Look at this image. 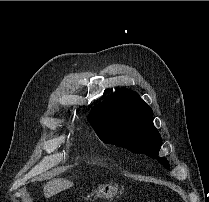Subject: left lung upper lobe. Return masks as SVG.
<instances>
[{
    "label": "left lung upper lobe",
    "mask_w": 209,
    "mask_h": 202,
    "mask_svg": "<svg viewBox=\"0 0 209 202\" xmlns=\"http://www.w3.org/2000/svg\"><path fill=\"white\" fill-rule=\"evenodd\" d=\"M88 120L104 142L157 158L169 168L166 158L158 157L162 139L153 124V111L137 92L117 89L92 109Z\"/></svg>",
    "instance_id": "5c2ea615"
}]
</instances>
